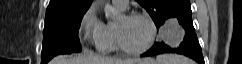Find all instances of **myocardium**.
Returning a JSON list of instances; mask_svg holds the SVG:
<instances>
[{
	"label": "myocardium",
	"instance_id": "1",
	"mask_svg": "<svg viewBox=\"0 0 242 64\" xmlns=\"http://www.w3.org/2000/svg\"><path fill=\"white\" fill-rule=\"evenodd\" d=\"M123 16L127 19L144 20L150 27V35H149L147 42L143 46H141L139 48H131L123 42L120 30H119L118 26L116 25V40H117V46L119 47V49L122 50L123 52H125L127 54H131V55L142 54V53L146 52L147 50H149L152 47V45L154 44L156 34H157V28H156V25H155L154 21L152 20V18L144 13H139V12H132L129 14H125Z\"/></svg>",
	"mask_w": 242,
	"mask_h": 64
}]
</instances>
